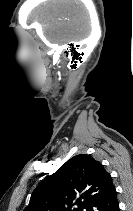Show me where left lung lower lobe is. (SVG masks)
Here are the masks:
<instances>
[{
  "label": "left lung lower lobe",
  "instance_id": "left-lung-lower-lobe-1",
  "mask_svg": "<svg viewBox=\"0 0 133 211\" xmlns=\"http://www.w3.org/2000/svg\"><path fill=\"white\" fill-rule=\"evenodd\" d=\"M91 211H119L115 187H113L98 203H96Z\"/></svg>",
  "mask_w": 133,
  "mask_h": 211
}]
</instances>
